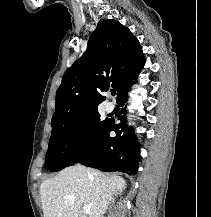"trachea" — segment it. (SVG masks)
I'll list each match as a JSON object with an SVG mask.
<instances>
[{
  "label": "trachea",
  "mask_w": 211,
  "mask_h": 217,
  "mask_svg": "<svg viewBox=\"0 0 211 217\" xmlns=\"http://www.w3.org/2000/svg\"><path fill=\"white\" fill-rule=\"evenodd\" d=\"M115 93L116 92L114 90L111 91L112 96H115Z\"/></svg>",
  "instance_id": "obj_1"
}]
</instances>
